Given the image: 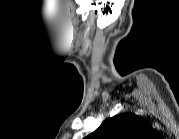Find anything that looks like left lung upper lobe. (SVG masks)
<instances>
[{
  "instance_id": "obj_1",
  "label": "left lung upper lobe",
  "mask_w": 179,
  "mask_h": 139,
  "mask_svg": "<svg viewBox=\"0 0 179 139\" xmlns=\"http://www.w3.org/2000/svg\"><path fill=\"white\" fill-rule=\"evenodd\" d=\"M152 127L137 115L123 113L104 121L88 139H143Z\"/></svg>"
}]
</instances>
